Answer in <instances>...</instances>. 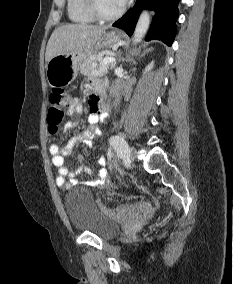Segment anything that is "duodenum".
I'll use <instances>...</instances> for the list:
<instances>
[{
  "label": "duodenum",
  "instance_id": "410a0bca",
  "mask_svg": "<svg viewBox=\"0 0 233 284\" xmlns=\"http://www.w3.org/2000/svg\"><path fill=\"white\" fill-rule=\"evenodd\" d=\"M96 91H97L96 96L99 98L103 93L102 89H97Z\"/></svg>",
  "mask_w": 233,
  "mask_h": 284
}]
</instances>
